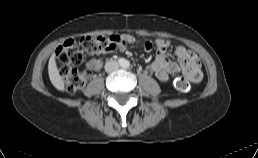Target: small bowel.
Instances as JSON below:
<instances>
[{"label": "small bowel", "mask_w": 258, "mask_h": 158, "mask_svg": "<svg viewBox=\"0 0 258 158\" xmlns=\"http://www.w3.org/2000/svg\"><path fill=\"white\" fill-rule=\"evenodd\" d=\"M122 39L127 40V43L119 46L120 50H125L127 44H132L135 39L131 35H123ZM171 41L168 39H158L154 42L147 41L144 43L146 52L156 51V58L151 62L147 69L158 80L166 82L171 74L184 73L191 81L198 82L202 78L200 61L192 51L183 46L175 48V54L178 61L171 60L166 50L170 47ZM87 67L93 71L100 70L103 65L102 59H90L87 62Z\"/></svg>", "instance_id": "1"}]
</instances>
